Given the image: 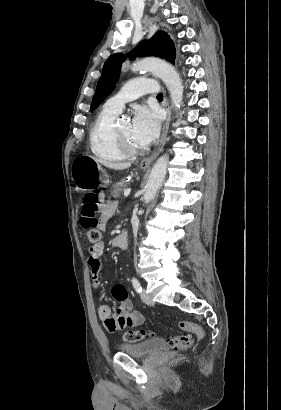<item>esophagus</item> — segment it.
<instances>
[{
	"label": "esophagus",
	"mask_w": 281,
	"mask_h": 410,
	"mask_svg": "<svg viewBox=\"0 0 281 410\" xmlns=\"http://www.w3.org/2000/svg\"><path fill=\"white\" fill-rule=\"evenodd\" d=\"M164 107H165V110H166V120H165L164 125H163L159 145L156 148V150L153 152L152 155H150L149 157L144 158L140 162V167H143V168L149 167L152 164V162L156 159V157L159 155V153L162 151V149L165 145L166 138H167V133H168V128H169V124H170V120H171V109H170V105H169L167 100H165V102H164Z\"/></svg>",
	"instance_id": "1"
}]
</instances>
